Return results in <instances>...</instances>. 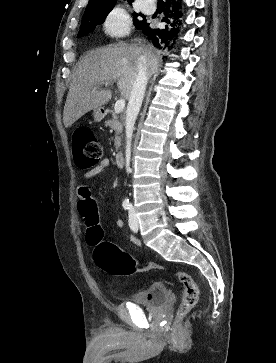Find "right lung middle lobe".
Returning <instances> with one entry per match:
<instances>
[{
    "mask_svg": "<svg viewBox=\"0 0 276 363\" xmlns=\"http://www.w3.org/2000/svg\"><path fill=\"white\" fill-rule=\"evenodd\" d=\"M116 2L112 3H103L97 5L87 6L85 13L82 18V24L80 26V31L78 36L83 37L89 32L93 31L96 26L104 23L106 16L113 9ZM131 4V3H130ZM134 15V24L136 27H140V25L145 21L136 19L141 14H133Z\"/></svg>",
    "mask_w": 276,
    "mask_h": 363,
    "instance_id": "dd1d6c3e",
    "label": "right lung middle lobe"
}]
</instances>
